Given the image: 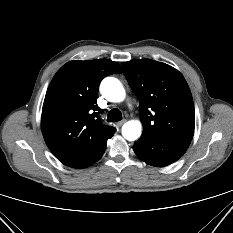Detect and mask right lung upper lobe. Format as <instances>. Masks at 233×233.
Here are the masks:
<instances>
[{
  "mask_svg": "<svg viewBox=\"0 0 233 233\" xmlns=\"http://www.w3.org/2000/svg\"><path fill=\"white\" fill-rule=\"evenodd\" d=\"M120 74L108 59L70 61L53 77L44 99L41 129L54 156L64 165L86 168L103 155L115 129L100 122L97 93L101 80Z\"/></svg>",
  "mask_w": 233,
  "mask_h": 233,
  "instance_id": "cb5924a9",
  "label": "right lung upper lobe"
}]
</instances>
